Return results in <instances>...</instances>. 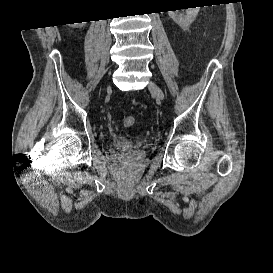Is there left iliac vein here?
Returning <instances> with one entry per match:
<instances>
[{"instance_id":"4c4485c4","label":"left iliac vein","mask_w":273,"mask_h":273,"mask_svg":"<svg viewBox=\"0 0 273 273\" xmlns=\"http://www.w3.org/2000/svg\"><path fill=\"white\" fill-rule=\"evenodd\" d=\"M149 90L155 94V96L158 98V99H161L163 100L164 99V93L162 91V89L153 81H151L149 83Z\"/></svg>"}]
</instances>
